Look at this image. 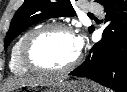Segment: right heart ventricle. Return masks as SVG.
<instances>
[{
    "instance_id": "obj_1",
    "label": "right heart ventricle",
    "mask_w": 127,
    "mask_h": 92,
    "mask_svg": "<svg viewBox=\"0 0 127 92\" xmlns=\"http://www.w3.org/2000/svg\"><path fill=\"white\" fill-rule=\"evenodd\" d=\"M32 31V29L25 31L15 42L11 49L9 68L10 71L16 75H25L30 71L23 65L20 58V48L25 37Z\"/></svg>"
}]
</instances>
